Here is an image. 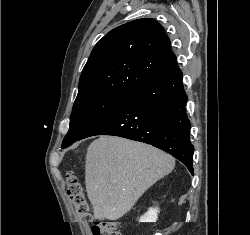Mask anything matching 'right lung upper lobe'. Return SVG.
Segmentation results:
<instances>
[{
  "instance_id": "right-lung-upper-lobe-1",
  "label": "right lung upper lobe",
  "mask_w": 250,
  "mask_h": 235,
  "mask_svg": "<svg viewBox=\"0 0 250 235\" xmlns=\"http://www.w3.org/2000/svg\"><path fill=\"white\" fill-rule=\"evenodd\" d=\"M174 57L164 28L154 19L123 24L93 48L76 99L98 92L134 93L163 72Z\"/></svg>"
}]
</instances>
